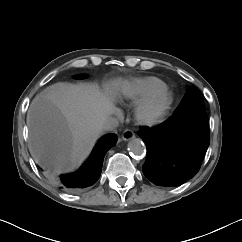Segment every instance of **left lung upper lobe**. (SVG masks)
<instances>
[{
	"label": "left lung upper lobe",
	"mask_w": 242,
	"mask_h": 242,
	"mask_svg": "<svg viewBox=\"0 0 242 242\" xmlns=\"http://www.w3.org/2000/svg\"><path fill=\"white\" fill-rule=\"evenodd\" d=\"M194 115H207L206 107L200 91L196 87H189L180 105L171 116V120L177 123Z\"/></svg>",
	"instance_id": "obj_1"
}]
</instances>
